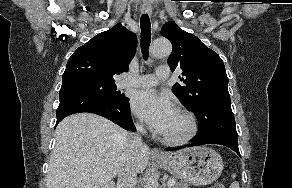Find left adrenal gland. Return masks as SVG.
Here are the masks:
<instances>
[{"mask_svg":"<svg viewBox=\"0 0 292 188\" xmlns=\"http://www.w3.org/2000/svg\"><path fill=\"white\" fill-rule=\"evenodd\" d=\"M162 188H167L166 183L164 182Z\"/></svg>","mask_w":292,"mask_h":188,"instance_id":"left-adrenal-gland-1","label":"left adrenal gland"}]
</instances>
